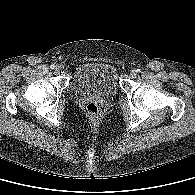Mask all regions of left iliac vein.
Segmentation results:
<instances>
[{
    "label": "left iliac vein",
    "instance_id": "left-iliac-vein-1",
    "mask_svg": "<svg viewBox=\"0 0 195 195\" xmlns=\"http://www.w3.org/2000/svg\"><path fill=\"white\" fill-rule=\"evenodd\" d=\"M130 76H131L132 78H134V77L136 76V71L132 70V71L130 72Z\"/></svg>",
    "mask_w": 195,
    "mask_h": 195
}]
</instances>
